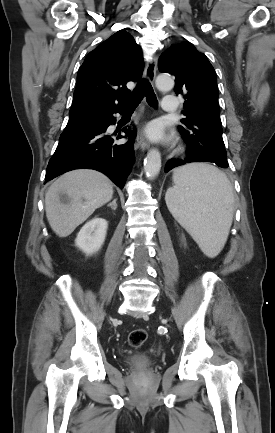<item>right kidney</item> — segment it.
Wrapping results in <instances>:
<instances>
[{"label": "right kidney", "instance_id": "obj_1", "mask_svg": "<svg viewBox=\"0 0 275 433\" xmlns=\"http://www.w3.org/2000/svg\"><path fill=\"white\" fill-rule=\"evenodd\" d=\"M107 226L105 219L94 217L81 228L75 245L87 255L98 252L105 241Z\"/></svg>", "mask_w": 275, "mask_h": 433}]
</instances>
